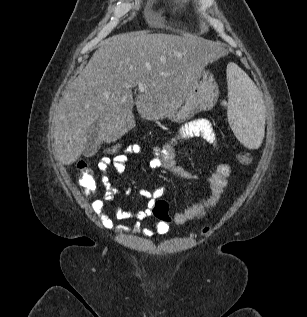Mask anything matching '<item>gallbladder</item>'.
<instances>
[{
    "label": "gallbladder",
    "mask_w": 307,
    "mask_h": 317,
    "mask_svg": "<svg viewBox=\"0 0 307 317\" xmlns=\"http://www.w3.org/2000/svg\"><path fill=\"white\" fill-rule=\"evenodd\" d=\"M99 145V127L97 122H95L88 130V140L83 150V155L85 157L93 156L97 152Z\"/></svg>",
    "instance_id": "1"
}]
</instances>
